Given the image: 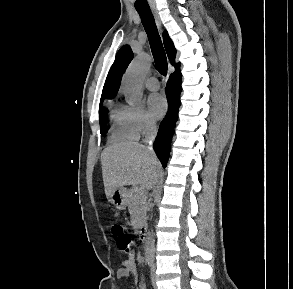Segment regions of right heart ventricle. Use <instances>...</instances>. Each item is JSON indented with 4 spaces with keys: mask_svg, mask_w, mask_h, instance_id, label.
<instances>
[{
    "mask_svg": "<svg viewBox=\"0 0 293 289\" xmlns=\"http://www.w3.org/2000/svg\"><path fill=\"white\" fill-rule=\"evenodd\" d=\"M111 129L109 140L112 143L134 141L138 138L132 108L122 104L110 103Z\"/></svg>",
    "mask_w": 293,
    "mask_h": 289,
    "instance_id": "e07e8e85",
    "label": "right heart ventricle"
}]
</instances>
